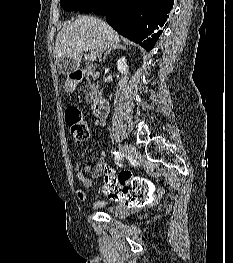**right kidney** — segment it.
I'll use <instances>...</instances> for the list:
<instances>
[{
	"instance_id": "1",
	"label": "right kidney",
	"mask_w": 233,
	"mask_h": 263,
	"mask_svg": "<svg viewBox=\"0 0 233 263\" xmlns=\"http://www.w3.org/2000/svg\"><path fill=\"white\" fill-rule=\"evenodd\" d=\"M117 70L124 75L128 74V65H127V60L123 56L117 61Z\"/></svg>"
}]
</instances>
